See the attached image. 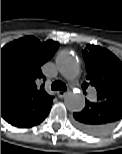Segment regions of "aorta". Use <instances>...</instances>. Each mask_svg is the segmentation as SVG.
Masks as SVG:
<instances>
[{
  "instance_id": "obj_1",
  "label": "aorta",
  "mask_w": 122,
  "mask_h": 154,
  "mask_svg": "<svg viewBox=\"0 0 122 154\" xmlns=\"http://www.w3.org/2000/svg\"><path fill=\"white\" fill-rule=\"evenodd\" d=\"M56 66L60 74L68 80L76 78L80 72L79 60L70 51H62L58 55ZM65 105L70 111H81L85 107L84 95L82 93L69 92L65 97Z\"/></svg>"
}]
</instances>
